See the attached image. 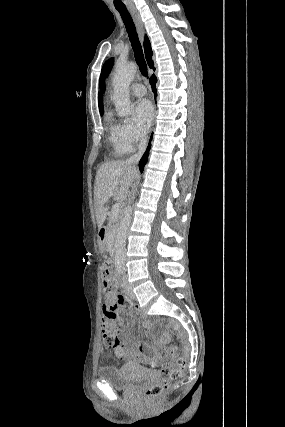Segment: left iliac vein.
<instances>
[{"label": "left iliac vein", "instance_id": "left-iliac-vein-1", "mask_svg": "<svg viewBox=\"0 0 285 427\" xmlns=\"http://www.w3.org/2000/svg\"><path fill=\"white\" fill-rule=\"evenodd\" d=\"M123 283H124V290H125V293H126L130 298L134 299V298H135V294H134V292H133L132 288L130 287V285L128 284V282H127V279H126V278L124 279Z\"/></svg>", "mask_w": 285, "mask_h": 427}]
</instances>
